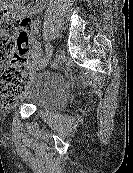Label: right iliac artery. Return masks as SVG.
I'll return each instance as SVG.
<instances>
[{
  "mask_svg": "<svg viewBox=\"0 0 133 173\" xmlns=\"http://www.w3.org/2000/svg\"><path fill=\"white\" fill-rule=\"evenodd\" d=\"M45 52H46V55L52 53V49H51V46L50 45H46Z\"/></svg>",
  "mask_w": 133,
  "mask_h": 173,
  "instance_id": "82829eb1",
  "label": "right iliac artery"
}]
</instances>
